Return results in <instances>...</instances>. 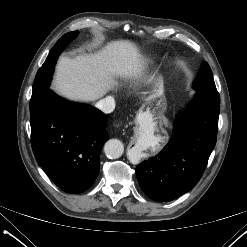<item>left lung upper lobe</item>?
<instances>
[{
	"instance_id": "1",
	"label": "left lung upper lobe",
	"mask_w": 247,
	"mask_h": 247,
	"mask_svg": "<svg viewBox=\"0 0 247 247\" xmlns=\"http://www.w3.org/2000/svg\"><path fill=\"white\" fill-rule=\"evenodd\" d=\"M192 87L194 90L203 92L214 99H220L214 83L212 71L205 61L201 64V68L197 73Z\"/></svg>"
}]
</instances>
